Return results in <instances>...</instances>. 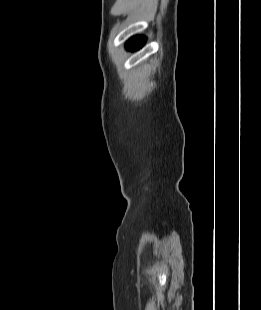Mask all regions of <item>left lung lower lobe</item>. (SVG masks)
Segmentation results:
<instances>
[{
	"label": "left lung lower lobe",
	"instance_id": "obj_1",
	"mask_svg": "<svg viewBox=\"0 0 261 310\" xmlns=\"http://www.w3.org/2000/svg\"><path fill=\"white\" fill-rule=\"evenodd\" d=\"M145 43V38L142 36L132 37L127 43L126 47L130 50H137L141 48Z\"/></svg>",
	"mask_w": 261,
	"mask_h": 310
}]
</instances>
